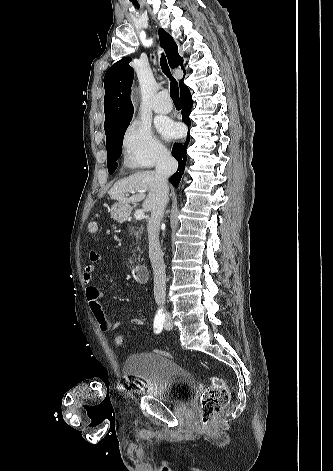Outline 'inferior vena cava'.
<instances>
[{
  "instance_id": "602c4592",
  "label": "inferior vena cava",
  "mask_w": 333,
  "mask_h": 471,
  "mask_svg": "<svg viewBox=\"0 0 333 471\" xmlns=\"http://www.w3.org/2000/svg\"><path fill=\"white\" fill-rule=\"evenodd\" d=\"M178 163L168 151H161L156 165V176L159 180V196L152 207L148 222L149 258L154 274V297L157 305L165 304L166 274L163 253L159 243L160 222L168 203V178L177 170Z\"/></svg>"
}]
</instances>
